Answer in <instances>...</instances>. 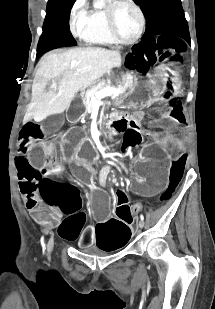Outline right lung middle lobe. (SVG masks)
<instances>
[{
  "mask_svg": "<svg viewBox=\"0 0 215 309\" xmlns=\"http://www.w3.org/2000/svg\"><path fill=\"white\" fill-rule=\"evenodd\" d=\"M74 2L75 0H48L37 57L54 48L77 44L69 28V15Z\"/></svg>",
  "mask_w": 215,
  "mask_h": 309,
  "instance_id": "right-lung-middle-lobe-1",
  "label": "right lung middle lobe"
}]
</instances>
